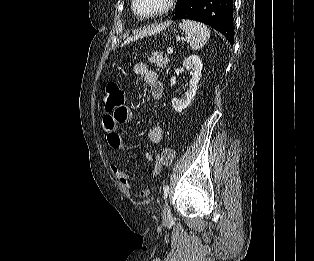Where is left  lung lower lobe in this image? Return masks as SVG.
Returning a JSON list of instances; mask_svg holds the SVG:
<instances>
[{"label":"left lung lower lobe","instance_id":"0a47b994","mask_svg":"<svg viewBox=\"0 0 314 261\" xmlns=\"http://www.w3.org/2000/svg\"><path fill=\"white\" fill-rule=\"evenodd\" d=\"M178 19L205 23L234 43L233 0H184L172 17Z\"/></svg>","mask_w":314,"mask_h":261}]
</instances>
